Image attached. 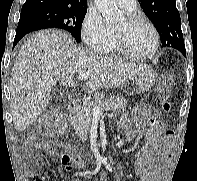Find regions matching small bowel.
Segmentation results:
<instances>
[{
    "label": "small bowel",
    "mask_w": 197,
    "mask_h": 181,
    "mask_svg": "<svg viewBox=\"0 0 197 181\" xmlns=\"http://www.w3.org/2000/svg\"><path fill=\"white\" fill-rule=\"evenodd\" d=\"M146 125L149 126L148 134L144 139L140 155L133 165V170L138 181H163V161L172 149L173 136L170 132H165L158 112L151 106L140 105L130 116L124 115L119 120V127L125 130L129 139L134 138ZM44 148L49 153L55 154L57 149L71 150L72 146L49 141L44 144ZM31 157L35 158V155L32 154ZM72 162L79 167L85 165V160L78 156L74 157Z\"/></svg>",
    "instance_id": "1"
}]
</instances>
